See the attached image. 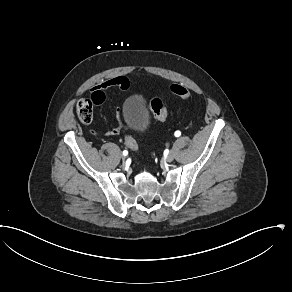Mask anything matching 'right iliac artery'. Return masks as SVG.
<instances>
[{"instance_id": "82829eb1", "label": "right iliac artery", "mask_w": 292, "mask_h": 292, "mask_svg": "<svg viewBox=\"0 0 292 292\" xmlns=\"http://www.w3.org/2000/svg\"><path fill=\"white\" fill-rule=\"evenodd\" d=\"M123 155H124V156L128 155V151H127V150H124V151H123Z\"/></svg>"}]
</instances>
